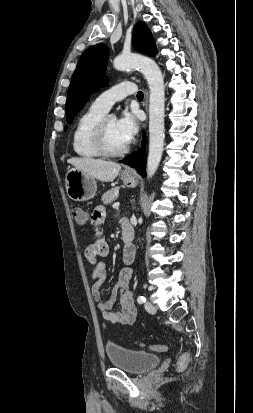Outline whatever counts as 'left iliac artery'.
Segmentation results:
<instances>
[{
    "label": "left iliac artery",
    "mask_w": 253,
    "mask_h": 413,
    "mask_svg": "<svg viewBox=\"0 0 253 413\" xmlns=\"http://www.w3.org/2000/svg\"><path fill=\"white\" fill-rule=\"evenodd\" d=\"M137 302H138L139 304L145 303V302H146V298H145L144 296L140 295V296L137 298Z\"/></svg>",
    "instance_id": "44dca946"
}]
</instances>
